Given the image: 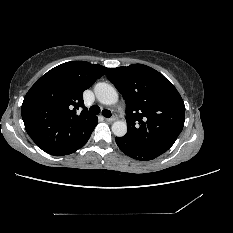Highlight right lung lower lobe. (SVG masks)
Masks as SVG:
<instances>
[{
	"label": "right lung lower lobe",
	"mask_w": 233,
	"mask_h": 233,
	"mask_svg": "<svg viewBox=\"0 0 233 233\" xmlns=\"http://www.w3.org/2000/svg\"><path fill=\"white\" fill-rule=\"evenodd\" d=\"M98 122V118L96 119V121L93 123V125L89 128V130L86 132V134H84V136L81 138V140L72 148L68 149L67 151L57 155V156H63V155H68L71 154L73 152H75L76 150H78L79 148H81L82 146H84L86 144V142L88 141V139L91 136L92 131L94 130L96 124Z\"/></svg>",
	"instance_id": "obj_1"
}]
</instances>
